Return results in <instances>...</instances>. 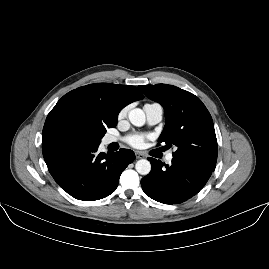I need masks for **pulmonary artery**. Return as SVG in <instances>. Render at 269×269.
<instances>
[{
    "instance_id": "pulmonary-artery-1",
    "label": "pulmonary artery",
    "mask_w": 269,
    "mask_h": 269,
    "mask_svg": "<svg viewBox=\"0 0 269 269\" xmlns=\"http://www.w3.org/2000/svg\"><path fill=\"white\" fill-rule=\"evenodd\" d=\"M144 112L146 115L147 124L149 126H155L158 124L163 118V109L161 105L154 103V104H146L144 106ZM117 138L115 137H106L104 139V144H110L116 142ZM173 159V154L169 153L166 155L165 160L166 162L170 163Z\"/></svg>"
}]
</instances>
